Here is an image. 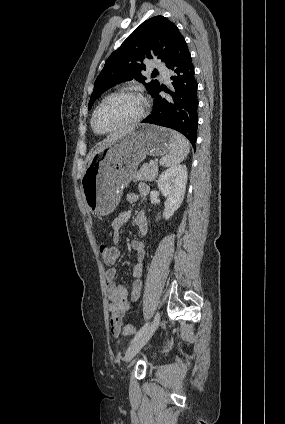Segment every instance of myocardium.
I'll use <instances>...</instances> for the list:
<instances>
[{"mask_svg": "<svg viewBox=\"0 0 285 424\" xmlns=\"http://www.w3.org/2000/svg\"><path fill=\"white\" fill-rule=\"evenodd\" d=\"M122 95L136 96L141 100L142 109L139 112V114L136 117H134L133 119L129 120L128 122H126V123H124V124H122L118 127H115V128H112V129H109V130H106V131L97 130V128L95 126V117H96L99 109L111 98H114V97H117V96H122ZM148 110H149V102H148V99L146 98V96L143 93H141L140 91H138L136 89L120 90V91L109 94L96 106V108L94 109V111L92 113L91 125H92L94 132L99 134V135H106V134L121 132V131L126 130V129L130 128L131 126L139 123L142 119H144V117L148 113Z\"/></svg>", "mask_w": 285, "mask_h": 424, "instance_id": "obj_1", "label": "myocardium"}]
</instances>
